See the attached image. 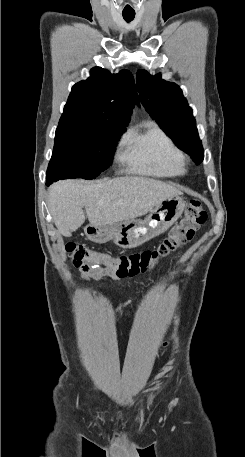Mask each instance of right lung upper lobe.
Listing matches in <instances>:
<instances>
[{
    "label": "right lung upper lobe",
    "mask_w": 245,
    "mask_h": 457,
    "mask_svg": "<svg viewBox=\"0 0 245 457\" xmlns=\"http://www.w3.org/2000/svg\"><path fill=\"white\" fill-rule=\"evenodd\" d=\"M136 102L134 79L129 71L111 74L94 67L90 78L72 87L62 117L128 123Z\"/></svg>",
    "instance_id": "obj_1"
}]
</instances>
